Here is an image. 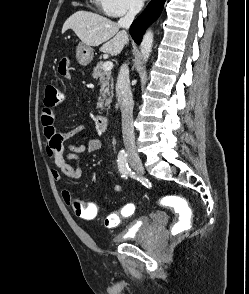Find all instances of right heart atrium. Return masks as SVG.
Masks as SVG:
<instances>
[{
	"instance_id": "obj_1",
	"label": "right heart atrium",
	"mask_w": 249,
	"mask_h": 294,
	"mask_svg": "<svg viewBox=\"0 0 249 294\" xmlns=\"http://www.w3.org/2000/svg\"><path fill=\"white\" fill-rule=\"evenodd\" d=\"M102 11L111 17H120L139 10L142 0H96Z\"/></svg>"
}]
</instances>
